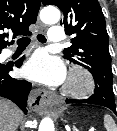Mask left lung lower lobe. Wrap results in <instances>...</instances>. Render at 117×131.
Returning a JSON list of instances; mask_svg holds the SVG:
<instances>
[{"instance_id": "obj_1", "label": "left lung lower lobe", "mask_w": 117, "mask_h": 131, "mask_svg": "<svg viewBox=\"0 0 117 131\" xmlns=\"http://www.w3.org/2000/svg\"><path fill=\"white\" fill-rule=\"evenodd\" d=\"M66 103H88L101 105L111 109L117 115L113 92L107 88L96 87L94 94L88 99H66Z\"/></svg>"}]
</instances>
